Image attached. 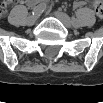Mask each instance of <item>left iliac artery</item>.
<instances>
[{
	"label": "left iliac artery",
	"mask_w": 103,
	"mask_h": 103,
	"mask_svg": "<svg viewBox=\"0 0 103 103\" xmlns=\"http://www.w3.org/2000/svg\"><path fill=\"white\" fill-rule=\"evenodd\" d=\"M72 22H73L74 25H76V24H78V19L72 17Z\"/></svg>",
	"instance_id": "1"
}]
</instances>
